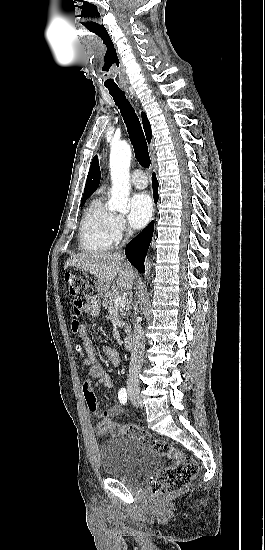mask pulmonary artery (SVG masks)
Instances as JSON below:
<instances>
[{
  "label": "pulmonary artery",
  "mask_w": 265,
  "mask_h": 550,
  "mask_svg": "<svg viewBox=\"0 0 265 550\" xmlns=\"http://www.w3.org/2000/svg\"><path fill=\"white\" fill-rule=\"evenodd\" d=\"M131 184L137 189L146 188L148 181L145 173L142 170H135L131 177Z\"/></svg>",
  "instance_id": "pulmonary-artery-1"
}]
</instances>
